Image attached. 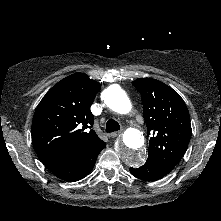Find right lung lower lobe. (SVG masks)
I'll return each mask as SVG.
<instances>
[{"instance_id": "1", "label": "right lung lower lobe", "mask_w": 221, "mask_h": 221, "mask_svg": "<svg viewBox=\"0 0 221 221\" xmlns=\"http://www.w3.org/2000/svg\"><path fill=\"white\" fill-rule=\"evenodd\" d=\"M106 147V143L84 152L80 156L64 163L48 166L47 168L58 178L75 182L87 176L93 169L97 156L102 149Z\"/></svg>"}]
</instances>
